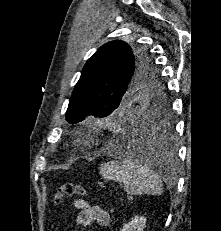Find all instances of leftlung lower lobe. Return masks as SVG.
Returning <instances> with one entry per match:
<instances>
[{"instance_id": "left-lung-lower-lobe-1", "label": "left lung lower lobe", "mask_w": 221, "mask_h": 231, "mask_svg": "<svg viewBox=\"0 0 221 231\" xmlns=\"http://www.w3.org/2000/svg\"><path fill=\"white\" fill-rule=\"evenodd\" d=\"M118 142L122 149L128 146L140 154L148 166L160 167L174 153L171 127L158 118L149 117L125 127Z\"/></svg>"}]
</instances>
